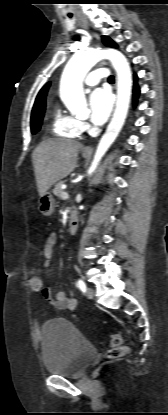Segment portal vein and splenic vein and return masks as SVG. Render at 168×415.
I'll return each mask as SVG.
<instances>
[{
    "label": "portal vein and splenic vein",
    "mask_w": 168,
    "mask_h": 415,
    "mask_svg": "<svg viewBox=\"0 0 168 415\" xmlns=\"http://www.w3.org/2000/svg\"><path fill=\"white\" fill-rule=\"evenodd\" d=\"M62 198L63 199H67V198H69V194L67 193V192H62Z\"/></svg>",
    "instance_id": "18ae733b"
}]
</instances>
